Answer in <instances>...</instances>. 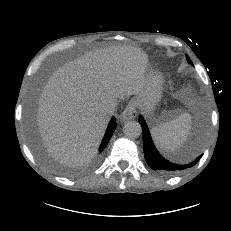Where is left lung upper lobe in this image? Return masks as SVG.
Returning <instances> with one entry per match:
<instances>
[{
    "label": "left lung upper lobe",
    "instance_id": "1",
    "mask_svg": "<svg viewBox=\"0 0 231 231\" xmlns=\"http://www.w3.org/2000/svg\"><path fill=\"white\" fill-rule=\"evenodd\" d=\"M187 61H188V63L192 64V62L188 56H187Z\"/></svg>",
    "mask_w": 231,
    "mask_h": 231
}]
</instances>
